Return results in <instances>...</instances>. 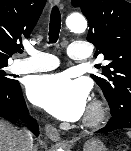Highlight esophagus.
<instances>
[{
    "mask_svg": "<svg viewBox=\"0 0 131 151\" xmlns=\"http://www.w3.org/2000/svg\"><path fill=\"white\" fill-rule=\"evenodd\" d=\"M61 0H54L56 4H59ZM45 133L49 139L54 142L60 141V134L58 130L51 124H46L44 127Z\"/></svg>",
    "mask_w": 131,
    "mask_h": 151,
    "instance_id": "1",
    "label": "esophagus"
}]
</instances>
